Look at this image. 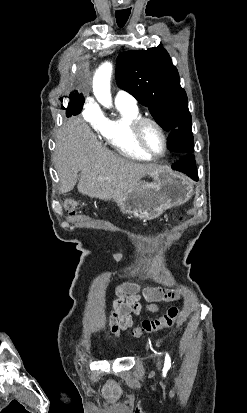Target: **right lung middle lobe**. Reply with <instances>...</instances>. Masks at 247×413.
Returning <instances> with one entry per match:
<instances>
[{
    "label": "right lung middle lobe",
    "mask_w": 247,
    "mask_h": 413,
    "mask_svg": "<svg viewBox=\"0 0 247 413\" xmlns=\"http://www.w3.org/2000/svg\"><path fill=\"white\" fill-rule=\"evenodd\" d=\"M69 98H70V103H69V106L66 108V110L71 112L73 115L79 114L83 107L84 97L81 94H78L76 92V93H71Z\"/></svg>",
    "instance_id": "dd1d6c3e"
}]
</instances>
